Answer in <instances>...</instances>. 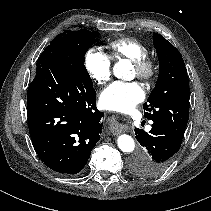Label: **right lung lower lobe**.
Listing matches in <instances>:
<instances>
[{"instance_id":"obj_1","label":"right lung lower lobe","mask_w":211,"mask_h":211,"mask_svg":"<svg viewBox=\"0 0 211 211\" xmlns=\"http://www.w3.org/2000/svg\"><path fill=\"white\" fill-rule=\"evenodd\" d=\"M27 108L39 158L56 172L79 173L100 140L103 126L93 85L77 78L54 56H40L28 87Z\"/></svg>"}]
</instances>
